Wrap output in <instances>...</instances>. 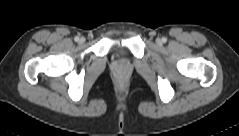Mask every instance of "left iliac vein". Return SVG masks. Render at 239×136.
Returning <instances> with one entry per match:
<instances>
[{
    "label": "left iliac vein",
    "mask_w": 239,
    "mask_h": 136,
    "mask_svg": "<svg viewBox=\"0 0 239 136\" xmlns=\"http://www.w3.org/2000/svg\"><path fill=\"white\" fill-rule=\"evenodd\" d=\"M156 43H157L158 45H161V44H162V40H161L160 38H157V39H156Z\"/></svg>",
    "instance_id": "1"
}]
</instances>
